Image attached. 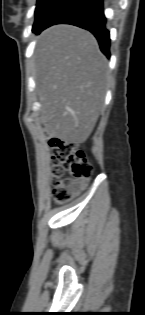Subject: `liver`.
I'll use <instances>...</instances> for the list:
<instances>
[{
	"mask_svg": "<svg viewBox=\"0 0 145 315\" xmlns=\"http://www.w3.org/2000/svg\"><path fill=\"white\" fill-rule=\"evenodd\" d=\"M108 72L90 32L56 25L40 34L34 76L49 137L75 144L88 139L104 103Z\"/></svg>",
	"mask_w": 145,
	"mask_h": 315,
	"instance_id": "6515ba94",
	"label": "liver"
}]
</instances>
